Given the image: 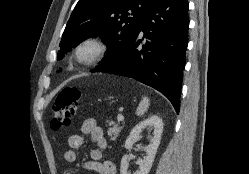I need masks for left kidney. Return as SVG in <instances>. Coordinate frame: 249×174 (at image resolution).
Segmentation results:
<instances>
[{
  "instance_id": "1",
  "label": "left kidney",
  "mask_w": 249,
  "mask_h": 174,
  "mask_svg": "<svg viewBox=\"0 0 249 174\" xmlns=\"http://www.w3.org/2000/svg\"><path fill=\"white\" fill-rule=\"evenodd\" d=\"M146 127L154 128L153 138L151 139L150 144L144 147V151L147 153V155L146 157H144V159H139L137 161V164L139 165V169L134 174H148L149 173L152 167V164L154 162L157 148L160 144L161 135L163 132V121L159 116L153 115L149 117L148 119L137 124L130 132L129 137L126 139L125 148L127 150H130L133 144L141 139V133L143 129ZM128 165H129L128 159H127V156L125 155L123 156L121 160L120 174H129L127 172Z\"/></svg>"
}]
</instances>
